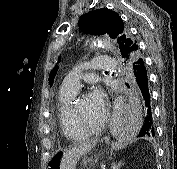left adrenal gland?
Masks as SVG:
<instances>
[{"mask_svg":"<svg viewBox=\"0 0 177 169\" xmlns=\"http://www.w3.org/2000/svg\"><path fill=\"white\" fill-rule=\"evenodd\" d=\"M123 163L120 161L119 163L113 162L111 165V169H120Z\"/></svg>","mask_w":177,"mask_h":169,"instance_id":"a2214340","label":"left adrenal gland"}]
</instances>
